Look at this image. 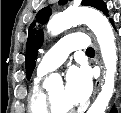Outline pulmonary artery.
I'll list each match as a JSON object with an SVG mask.
<instances>
[{
    "label": "pulmonary artery",
    "instance_id": "obj_1",
    "mask_svg": "<svg viewBox=\"0 0 121 113\" xmlns=\"http://www.w3.org/2000/svg\"><path fill=\"white\" fill-rule=\"evenodd\" d=\"M86 35L72 33L63 37L42 57L38 66L39 74H47L60 67L72 51L88 49Z\"/></svg>",
    "mask_w": 121,
    "mask_h": 113
}]
</instances>
